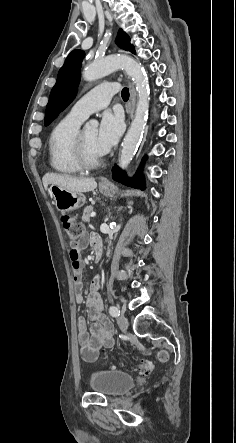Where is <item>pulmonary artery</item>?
I'll return each instance as SVG.
<instances>
[{
  "label": "pulmonary artery",
  "instance_id": "1",
  "mask_svg": "<svg viewBox=\"0 0 236 443\" xmlns=\"http://www.w3.org/2000/svg\"><path fill=\"white\" fill-rule=\"evenodd\" d=\"M118 91L119 84L117 82L101 84L80 97L70 109L69 114L84 120L92 112L106 107L112 96Z\"/></svg>",
  "mask_w": 236,
  "mask_h": 443
}]
</instances>
